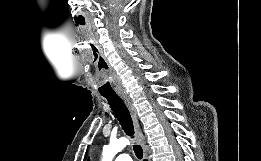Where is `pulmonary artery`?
I'll return each instance as SVG.
<instances>
[{
  "label": "pulmonary artery",
  "mask_w": 261,
  "mask_h": 161,
  "mask_svg": "<svg viewBox=\"0 0 261 161\" xmlns=\"http://www.w3.org/2000/svg\"><path fill=\"white\" fill-rule=\"evenodd\" d=\"M115 161H132V160L128 154L122 153L116 156Z\"/></svg>",
  "instance_id": "pulmonary-artery-1"
}]
</instances>
